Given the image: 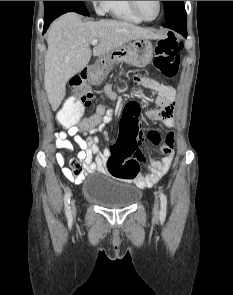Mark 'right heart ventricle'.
<instances>
[{
    "label": "right heart ventricle",
    "mask_w": 233,
    "mask_h": 295,
    "mask_svg": "<svg viewBox=\"0 0 233 295\" xmlns=\"http://www.w3.org/2000/svg\"><path fill=\"white\" fill-rule=\"evenodd\" d=\"M107 11L114 17L120 20L140 23L142 20L137 17L131 10L129 1H108Z\"/></svg>",
    "instance_id": "1"
}]
</instances>
